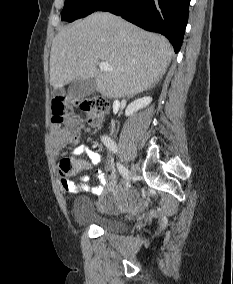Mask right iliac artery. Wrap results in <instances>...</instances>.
I'll list each match as a JSON object with an SVG mask.
<instances>
[{"mask_svg":"<svg viewBox=\"0 0 233 284\" xmlns=\"http://www.w3.org/2000/svg\"><path fill=\"white\" fill-rule=\"evenodd\" d=\"M101 140L106 145L107 148H109L114 153L117 152L116 144L114 143V141L110 137L102 136ZM117 168H118L119 173L123 176V178H127L129 176L128 169L125 168L120 163H117Z\"/></svg>","mask_w":233,"mask_h":284,"instance_id":"obj_1","label":"right iliac artery"}]
</instances>
